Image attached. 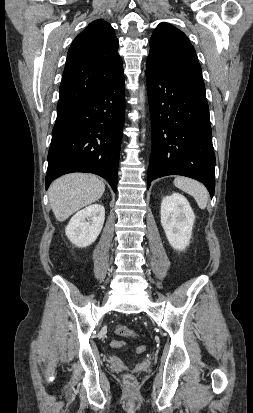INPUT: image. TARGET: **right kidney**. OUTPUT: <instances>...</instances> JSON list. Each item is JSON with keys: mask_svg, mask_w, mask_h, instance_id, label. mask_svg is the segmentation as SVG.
I'll list each match as a JSON object with an SVG mask.
<instances>
[{"mask_svg": "<svg viewBox=\"0 0 253 413\" xmlns=\"http://www.w3.org/2000/svg\"><path fill=\"white\" fill-rule=\"evenodd\" d=\"M105 220V209L93 204L78 211L65 228L68 239L77 247L83 248L95 242Z\"/></svg>", "mask_w": 253, "mask_h": 413, "instance_id": "right-kidney-1", "label": "right kidney"}]
</instances>
